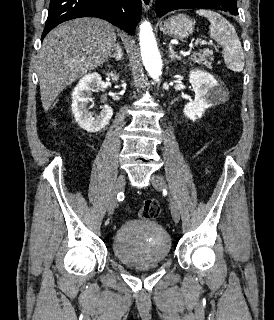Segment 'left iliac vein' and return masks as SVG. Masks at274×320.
I'll return each mask as SVG.
<instances>
[{
    "label": "left iliac vein",
    "instance_id": "obj_1",
    "mask_svg": "<svg viewBox=\"0 0 274 320\" xmlns=\"http://www.w3.org/2000/svg\"><path fill=\"white\" fill-rule=\"evenodd\" d=\"M151 183H152L153 187L159 191L167 188V185H166L164 179L159 175H152ZM170 208H171V214H172L174 222L178 223L180 220V211H179L177 203L172 198L170 199Z\"/></svg>",
    "mask_w": 274,
    "mask_h": 320
}]
</instances>
